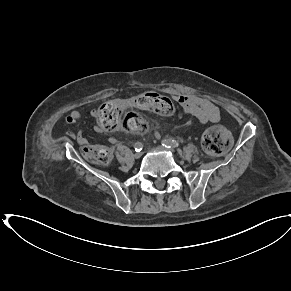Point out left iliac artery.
I'll use <instances>...</instances> for the list:
<instances>
[{
    "label": "left iliac artery",
    "mask_w": 291,
    "mask_h": 291,
    "mask_svg": "<svg viewBox=\"0 0 291 291\" xmlns=\"http://www.w3.org/2000/svg\"><path fill=\"white\" fill-rule=\"evenodd\" d=\"M162 145L166 148H176L180 146L179 142L174 139H165L162 141Z\"/></svg>",
    "instance_id": "44dca946"
}]
</instances>
